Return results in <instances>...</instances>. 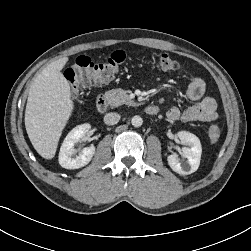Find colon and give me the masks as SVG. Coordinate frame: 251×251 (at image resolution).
I'll return each mask as SVG.
<instances>
[{
	"label": "colon",
	"mask_w": 251,
	"mask_h": 251,
	"mask_svg": "<svg viewBox=\"0 0 251 251\" xmlns=\"http://www.w3.org/2000/svg\"><path fill=\"white\" fill-rule=\"evenodd\" d=\"M127 57V53L122 50L114 51L103 62H94L87 56L78 57L75 64L64 73L70 85L73 100H77L86 88L112 80ZM153 61L156 67L162 71L176 70L179 68L178 62L167 53L154 55ZM208 135L211 142H217L220 137L218 126L212 125L209 128Z\"/></svg>",
	"instance_id": "colon-1"
}]
</instances>
